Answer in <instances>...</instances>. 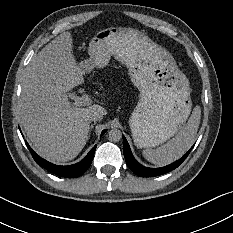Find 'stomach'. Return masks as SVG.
I'll use <instances>...</instances> for the list:
<instances>
[{
	"instance_id": "stomach-1",
	"label": "stomach",
	"mask_w": 233,
	"mask_h": 233,
	"mask_svg": "<svg viewBox=\"0 0 233 233\" xmlns=\"http://www.w3.org/2000/svg\"><path fill=\"white\" fill-rule=\"evenodd\" d=\"M88 57L78 63L83 76L104 69L111 58L125 64L140 100L130 117L138 148L158 146L176 134L191 111L187 77L172 56L142 32L122 27L97 31L89 40Z\"/></svg>"
}]
</instances>
